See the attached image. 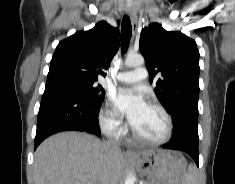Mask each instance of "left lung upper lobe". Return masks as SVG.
Here are the masks:
<instances>
[{
	"mask_svg": "<svg viewBox=\"0 0 235 184\" xmlns=\"http://www.w3.org/2000/svg\"><path fill=\"white\" fill-rule=\"evenodd\" d=\"M150 82L161 75L154 89L173 119V134L183 128L198 133L199 51L196 42L178 31L168 32L151 23L140 34Z\"/></svg>",
	"mask_w": 235,
	"mask_h": 184,
	"instance_id": "5c2ea615",
	"label": "left lung upper lobe"
}]
</instances>
